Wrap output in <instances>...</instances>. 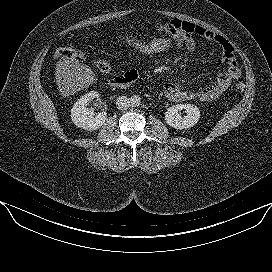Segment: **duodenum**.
Instances as JSON below:
<instances>
[{"label":"duodenum","mask_w":272,"mask_h":272,"mask_svg":"<svg viewBox=\"0 0 272 272\" xmlns=\"http://www.w3.org/2000/svg\"><path fill=\"white\" fill-rule=\"evenodd\" d=\"M135 80V77L128 75V74H122L116 77H113L109 80H107V84L110 87L114 88H125L131 85Z\"/></svg>","instance_id":"1"}]
</instances>
